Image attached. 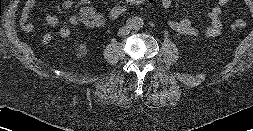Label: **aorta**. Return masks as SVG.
<instances>
[{
  "label": "aorta",
  "instance_id": "762f6f07",
  "mask_svg": "<svg viewBox=\"0 0 253 131\" xmlns=\"http://www.w3.org/2000/svg\"><path fill=\"white\" fill-rule=\"evenodd\" d=\"M136 20L137 21H136V24H135V28L139 29L140 27L143 26V20L141 18H137Z\"/></svg>",
  "mask_w": 253,
  "mask_h": 131
}]
</instances>
